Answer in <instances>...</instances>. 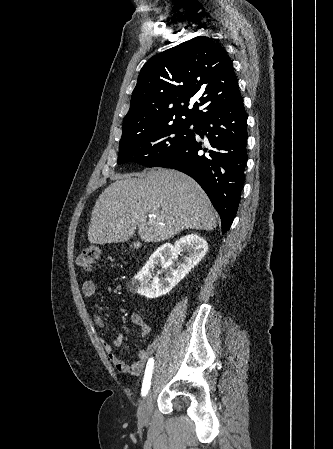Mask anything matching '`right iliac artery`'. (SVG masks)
<instances>
[{
    "label": "right iliac artery",
    "instance_id": "right-iliac-artery-1",
    "mask_svg": "<svg viewBox=\"0 0 333 449\" xmlns=\"http://www.w3.org/2000/svg\"><path fill=\"white\" fill-rule=\"evenodd\" d=\"M153 366H154V358H150L146 365L145 375L143 379V385H142V396H146L148 393V390L150 388L151 383V377L153 372Z\"/></svg>",
    "mask_w": 333,
    "mask_h": 449
}]
</instances>
